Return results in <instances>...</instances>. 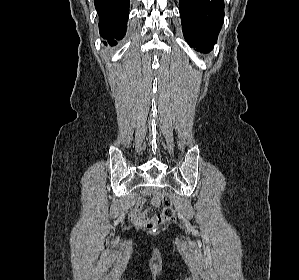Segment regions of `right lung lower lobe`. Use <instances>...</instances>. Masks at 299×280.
<instances>
[{
    "label": "right lung lower lobe",
    "instance_id": "right-lung-lower-lobe-1",
    "mask_svg": "<svg viewBox=\"0 0 299 280\" xmlns=\"http://www.w3.org/2000/svg\"><path fill=\"white\" fill-rule=\"evenodd\" d=\"M94 3L100 18V35L108 39L111 46L115 45L114 39H121L126 32L129 0H94Z\"/></svg>",
    "mask_w": 299,
    "mask_h": 280
}]
</instances>
